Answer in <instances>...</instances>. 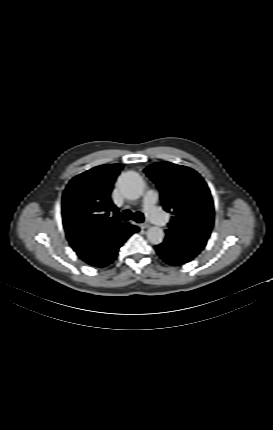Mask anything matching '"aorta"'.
<instances>
[{
	"instance_id": "1",
	"label": "aorta",
	"mask_w": 273,
	"mask_h": 430,
	"mask_svg": "<svg viewBox=\"0 0 273 430\" xmlns=\"http://www.w3.org/2000/svg\"><path fill=\"white\" fill-rule=\"evenodd\" d=\"M117 184L121 193L128 199L139 198L145 187L143 179L135 171L122 173L118 178ZM164 236V231L160 227L152 226L147 230V238L153 245L162 243Z\"/></svg>"
}]
</instances>
